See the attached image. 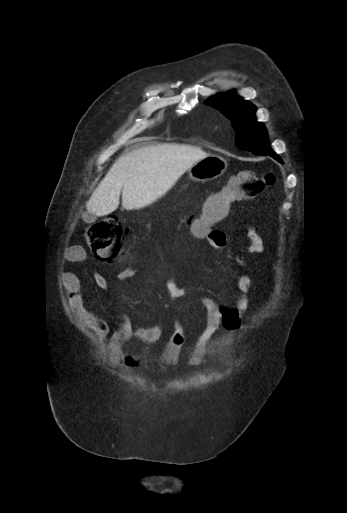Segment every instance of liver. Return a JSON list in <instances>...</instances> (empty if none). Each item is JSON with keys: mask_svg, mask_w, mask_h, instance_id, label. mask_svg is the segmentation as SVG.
<instances>
[{"mask_svg": "<svg viewBox=\"0 0 347 513\" xmlns=\"http://www.w3.org/2000/svg\"><path fill=\"white\" fill-rule=\"evenodd\" d=\"M209 154L189 145L157 144L120 156L86 203L87 214L105 216L119 206L140 209L164 195L194 163ZM90 221L89 223H91Z\"/></svg>", "mask_w": 347, "mask_h": 513, "instance_id": "6515ba94", "label": "liver"}]
</instances>
